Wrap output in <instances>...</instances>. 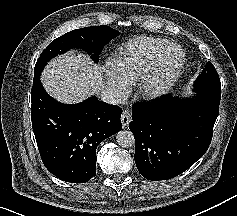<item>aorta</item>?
I'll use <instances>...</instances> for the list:
<instances>
[{"mask_svg":"<svg viewBox=\"0 0 237 216\" xmlns=\"http://www.w3.org/2000/svg\"><path fill=\"white\" fill-rule=\"evenodd\" d=\"M117 144L122 148L135 147V136L129 130H122L116 134Z\"/></svg>","mask_w":237,"mask_h":216,"instance_id":"1","label":"aorta"}]
</instances>
